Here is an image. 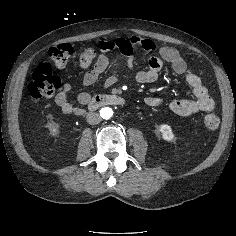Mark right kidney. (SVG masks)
<instances>
[{"label": "right kidney", "mask_w": 236, "mask_h": 236, "mask_svg": "<svg viewBox=\"0 0 236 236\" xmlns=\"http://www.w3.org/2000/svg\"><path fill=\"white\" fill-rule=\"evenodd\" d=\"M58 131H59V130H58V125H54V126L51 128L50 133H51V135L55 136V135H57Z\"/></svg>", "instance_id": "obj_1"}]
</instances>
